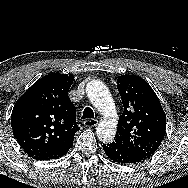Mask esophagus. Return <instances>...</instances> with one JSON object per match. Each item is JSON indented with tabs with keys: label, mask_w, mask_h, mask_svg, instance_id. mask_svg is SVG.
I'll use <instances>...</instances> for the list:
<instances>
[{
	"label": "esophagus",
	"mask_w": 188,
	"mask_h": 188,
	"mask_svg": "<svg viewBox=\"0 0 188 188\" xmlns=\"http://www.w3.org/2000/svg\"><path fill=\"white\" fill-rule=\"evenodd\" d=\"M83 124L85 127H95L98 125V120L97 119H86Z\"/></svg>",
	"instance_id": "obj_1"
}]
</instances>
